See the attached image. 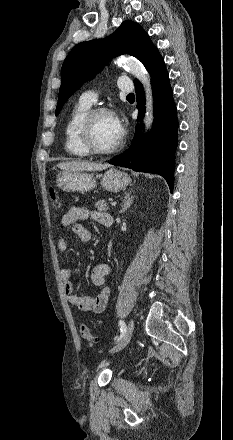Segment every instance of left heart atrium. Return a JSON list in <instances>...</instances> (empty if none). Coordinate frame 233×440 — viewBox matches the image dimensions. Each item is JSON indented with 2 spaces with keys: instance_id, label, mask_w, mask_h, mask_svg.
<instances>
[{
  "instance_id": "1",
  "label": "left heart atrium",
  "mask_w": 233,
  "mask_h": 440,
  "mask_svg": "<svg viewBox=\"0 0 233 440\" xmlns=\"http://www.w3.org/2000/svg\"><path fill=\"white\" fill-rule=\"evenodd\" d=\"M114 119H115V124H116V126H117L120 130H122V124H121V121H120L118 118H116V117H114Z\"/></svg>"
}]
</instances>
